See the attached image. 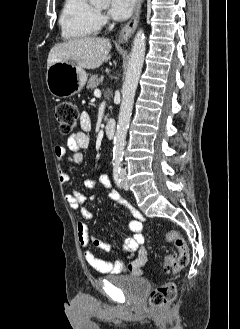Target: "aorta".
Returning <instances> with one entry per match:
<instances>
[{
  "label": "aorta",
  "mask_w": 240,
  "mask_h": 329,
  "mask_svg": "<svg viewBox=\"0 0 240 329\" xmlns=\"http://www.w3.org/2000/svg\"><path fill=\"white\" fill-rule=\"evenodd\" d=\"M90 2L103 7H107L110 4V0H90ZM145 50V34L140 29L134 37L125 80L121 90L122 102L113 146L114 165H120L123 160L127 129L130 123L136 89L142 72Z\"/></svg>",
  "instance_id": "obj_1"
}]
</instances>
